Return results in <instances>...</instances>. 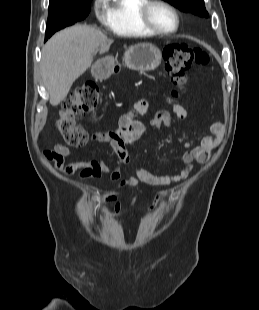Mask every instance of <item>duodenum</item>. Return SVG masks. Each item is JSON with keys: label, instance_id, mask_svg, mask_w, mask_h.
<instances>
[{"label": "duodenum", "instance_id": "duodenum-1", "mask_svg": "<svg viewBox=\"0 0 259 310\" xmlns=\"http://www.w3.org/2000/svg\"><path fill=\"white\" fill-rule=\"evenodd\" d=\"M114 72H117L118 71V66L115 65L114 68H113Z\"/></svg>", "mask_w": 259, "mask_h": 310}]
</instances>
